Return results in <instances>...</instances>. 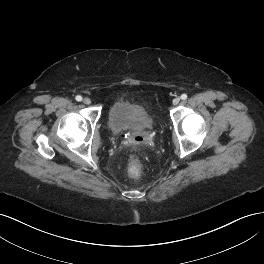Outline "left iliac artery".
Segmentation results:
<instances>
[{
  "label": "left iliac artery",
  "instance_id": "obj_1",
  "mask_svg": "<svg viewBox=\"0 0 264 264\" xmlns=\"http://www.w3.org/2000/svg\"><path fill=\"white\" fill-rule=\"evenodd\" d=\"M181 99H182V100H186V99H187V95H186V94H182V95H181Z\"/></svg>",
  "mask_w": 264,
  "mask_h": 264
}]
</instances>
